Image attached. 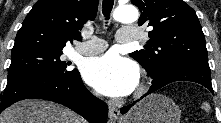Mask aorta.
<instances>
[{
  "label": "aorta",
  "mask_w": 221,
  "mask_h": 123,
  "mask_svg": "<svg viewBox=\"0 0 221 123\" xmlns=\"http://www.w3.org/2000/svg\"><path fill=\"white\" fill-rule=\"evenodd\" d=\"M139 18L138 10L132 5L119 6L113 13V19L120 23H133Z\"/></svg>",
  "instance_id": "762f6f07"
}]
</instances>
